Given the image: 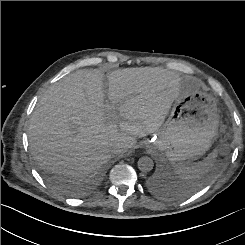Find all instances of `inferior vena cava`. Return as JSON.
<instances>
[{"instance_id":"obj_1","label":"inferior vena cava","mask_w":245,"mask_h":245,"mask_svg":"<svg viewBox=\"0 0 245 245\" xmlns=\"http://www.w3.org/2000/svg\"><path fill=\"white\" fill-rule=\"evenodd\" d=\"M115 151H116V149H115ZM119 152H123V150H119Z\"/></svg>"}]
</instances>
